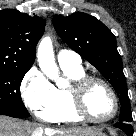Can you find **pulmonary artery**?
<instances>
[{
	"label": "pulmonary artery",
	"mask_w": 136,
	"mask_h": 136,
	"mask_svg": "<svg viewBox=\"0 0 136 136\" xmlns=\"http://www.w3.org/2000/svg\"><path fill=\"white\" fill-rule=\"evenodd\" d=\"M57 58L61 66L81 67V58L74 51L63 49L59 51Z\"/></svg>",
	"instance_id": "1"
}]
</instances>
